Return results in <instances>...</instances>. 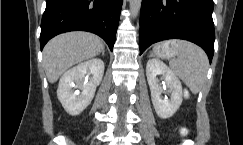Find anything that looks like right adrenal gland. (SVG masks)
<instances>
[{
  "label": "right adrenal gland",
  "mask_w": 243,
  "mask_h": 145,
  "mask_svg": "<svg viewBox=\"0 0 243 145\" xmlns=\"http://www.w3.org/2000/svg\"><path fill=\"white\" fill-rule=\"evenodd\" d=\"M102 56L105 55V49H102V52H101Z\"/></svg>",
  "instance_id": "1"
}]
</instances>
